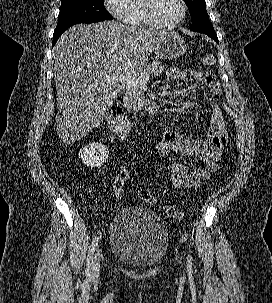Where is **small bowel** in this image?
<instances>
[{"label":"small bowel","mask_w":272,"mask_h":303,"mask_svg":"<svg viewBox=\"0 0 272 303\" xmlns=\"http://www.w3.org/2000/svg\"><path fill=\"white\" fill-rule=\"evenodd\" d=\"M167 76L173 80L183 82L198 80L206 84L210 100L213 103L222 94L221 86L208 72L169 68ZM228 135L225 115L222 107L218 104L213 105L211 109L204 135L192 137L175 130L166 131L157 144V153L164 158L180 155L195 162L191 169L181 161H175L171 164L169 176L172 186L179 190L198 189L203 182L209 180L219 169L220 160L228 142Z\"/></svg>","instance_id":"c3829d8e"}]
</instances>
